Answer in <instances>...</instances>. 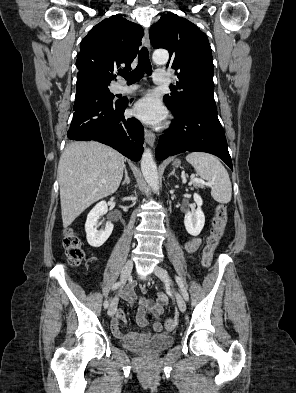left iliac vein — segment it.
<instances>
[{
    "mask_svg": "<svg viewBox=\"0 0 296 393\" xmlns=\"http://www.w3.org/2000/svg\"><path fill=\"white\" fill-rule=\"evenodd\" d=\"M154 274L159 277L166 286L170 287L172 289V291L175 293V297H176V301H177V305L180 309V311L185 312L186 310V302L183 299V297L174 291L173 287V281L171 279V277L169 276L168 272L162 268L161 266H156L154 268Z\"/></svg>",
    "mask_w": 296,
    "mask_h": 393,
    "instance_id": "1",
    "label": "left iliac vein"
}]
</instances>
